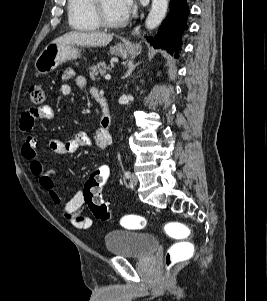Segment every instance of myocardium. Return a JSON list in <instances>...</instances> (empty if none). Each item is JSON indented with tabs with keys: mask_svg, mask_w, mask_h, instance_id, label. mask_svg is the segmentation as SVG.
Segmentation results:
<instances>
[{
	"mask_svg": "<svg viewBox=\"0 0 267 301\" xmlns=\"http://www.w3.org/2000/svg\"><path fill=\"white\" fill-rule=\"evenodd\" d=\"M94 16L101 27L114 29L124 26L127 23V18L118 21H110L104 15L102 9V0H93Z\"/></svg>",
	"mask_w": 267,
	"mask_h": 301,
	"instance_id": "1",
	"label": "myocardium"
}]
</instances>
